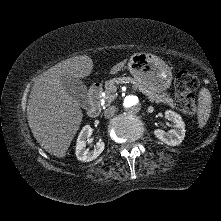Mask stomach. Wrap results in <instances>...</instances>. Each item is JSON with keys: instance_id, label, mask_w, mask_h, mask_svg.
I'll use <instances>...</instances> for the list:
<instances>
[{"instance_id": "stomach-1", "label": "stomach", "mask_w": 221, "mask_h": 221, "mask_svg": "<svg viewBox=\"0 0 221 221\" xmlns=\"http://www.w3.org/2000/svg\"><path fill=\"white\" fill-rule=\"evenodd\" d=\"M128 70L136 82L155 93H162L171 85V68L153 54L145 52L133 54L128 62Z\"/></svg>"}]
</instances>
